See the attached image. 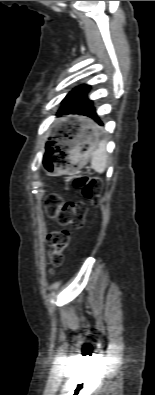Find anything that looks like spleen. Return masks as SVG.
Returning a JSON list of instances; mask_svg holds the SVG:
<instances>
[{
    "label": "spleen",
    "mask_w": 155,
    "mask_h": 395,
    "mask_svg": "<svg viewBox=\"0 0 155 395\" xmlns=\"http://www.w3.org/2000/svg\"><path fill=\"white\" fill-rule=\"evenodd\" d=\"M107 157L106 141L103 140L99 142L98 148L92 154V168L99 173H103L106 168Z\"/></svg>",
    "instance_id": "1"
}]
</instances>
